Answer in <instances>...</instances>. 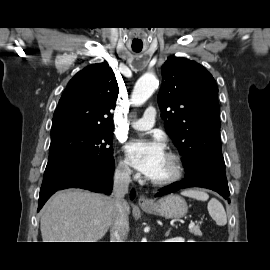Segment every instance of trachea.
<instances>
[{
  "mask_svg": "<svg viewBox=\"0 0 270 270\" xmlns=\"http://www.w3.org/2000/svg\"><path fill=\"white\" fill-rule=\"evenodd\" d=\"M134 52H140L141 49H133Z\"/></svg>",
  "mask_w": 270,
  "mask_h": 270,
  "instance_id": "trachea-1",
  "label": "trachea"
}]
</instances>
